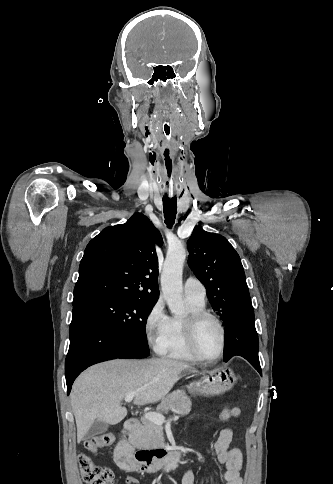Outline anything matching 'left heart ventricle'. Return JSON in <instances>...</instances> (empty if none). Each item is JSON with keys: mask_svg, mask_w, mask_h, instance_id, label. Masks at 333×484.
Instances as JSON below:
<instances>
[{"mask_svg": "<svg viewBox=\"0 0 333 484\" xmlns=\"http://www.w3.org/2000/svg\"><path fill=\"white\" fill-rule=\"evenodd\" d=\"M221 344L220 331L216 323L210 319L203 321L197 332V347L206 358L217 355Z\"/></svg>", "mask_w": 333, "mask_h": 484, "instance_id": "obj_1", "label": "left heart ventricle"}]
</instances>
